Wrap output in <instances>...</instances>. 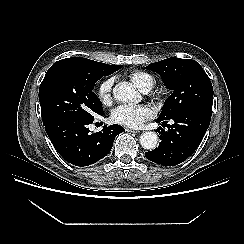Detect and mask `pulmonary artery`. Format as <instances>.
<instances>
[{
  "mask_svg": "<svg viewBox=\"0 0 244 244\" xmlns=\"http://www.w3.org/2000/svg\"><path fill=\"white\" fill-rule=\"evenodd\" d=\"M150 89L144 90L143 92H148Z\"/></svg>",
  "mask_w": 244,
  "mask_h": 244,
  "instance_id": "obj_1",
  "label": "pulmonary artery"
}]
</instances>
